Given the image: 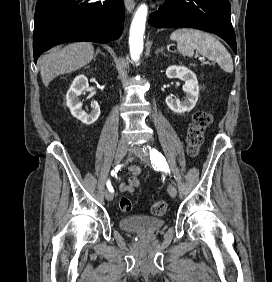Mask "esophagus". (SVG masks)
Listing matches in <instances>:
<instances>
[{
    "mask_svg": "<svg viewBox=\"0 0 272 282\" xmlns=\"http://www.w3.org/2000/svg\"><path fill=\"white\" fill-rule=\"evenodd\" d=\"M125 8L128 12H132L135 7L134 0H124Z\"/></svg>",
    "mask_w": 272,
    "mask_h": 282,
    "instance_id": "esophagus-1",
    "label": "esophagus"
}]
</instances>
